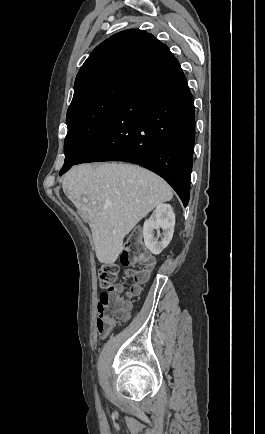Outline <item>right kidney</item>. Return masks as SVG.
I'll return each mask as SVG.
<instances>
[{"label": "right kidney", "instance_id": "ca27d5eb", "mask_svg": "<svg viewBox=\"0 0 265 434\" xmlns=\"http://www.w3.org/2000/svg\"><path fill=\"white\" fill-rule=\"evenodd\" d=\"M174 226L175 214L170 204H159L151 218L144 222L143 238L146 248L155 256L161 254L173 238ZM160 228L163 230V238H161V234H157V238H153L154 230H160ZM158 238H161V242H158Z\"/></svg>", "mask_w": 265, "mask_h": 434}]
</instances>
